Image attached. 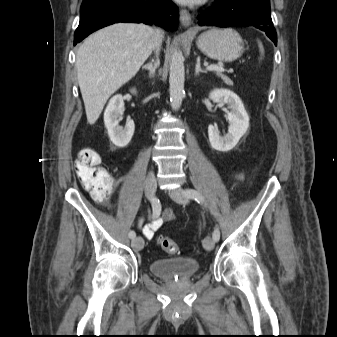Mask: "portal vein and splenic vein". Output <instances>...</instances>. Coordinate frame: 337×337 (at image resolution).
Wrapping results in <instances>:
<instances>
[{
	"label": "portal vein and splenic vein",
	"instance_id": "1",
	"mask_svg": "<svg viewBox=\"0 0 337 337\" xmlns=\"http://www.w3.org/2000/svg\"><path fill=\"white\" fill-rule=\"evenodd\" d=\"M206 69L209 70V71H218V72H223V71H224V68H223V67L217 66V65H210V66H207Z\"/></svg>",
	"mask_w": 337,
	"mask_h": 337
}]
</instances>
